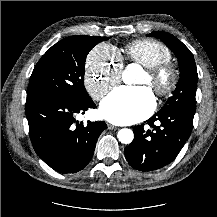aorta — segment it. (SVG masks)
Segmentation results:
<instances>
[{
    "instance_id": "762f6f07",
    "label": "aorta",
    "mask_w": 217,
    "mask_h": 217,
    "mask_svg": "<svg viewBox=\"0 0 217 217\" xmlns=\"http://www.w3.org/2000/svg\"><path fill=\"white\" fill-rule=\"evenodd\" d=\"M139 72V66L136 64H130L123 72V81L126 84H133L135 82V76ZM118 140L123 144H130L134 139V134L131 129L124 128L118 131Z\"/></svg>"
}]
</instances>
